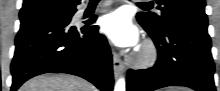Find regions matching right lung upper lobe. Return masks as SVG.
Here are the masks:
<instances>
[{
    "instance_id": "right-lung-upper-lobe-1",
    "label": "right lung upper lobe",
    "mask_w": 220,
    "mask_h": 91,
    "mask_svg": "<svg viewBox=\"0 0 220 91\" xmlns=\"http://www.w3.org/2000/svg\"><path fill=\"white\" fill-rule=\"evenodd\" d=\"M80 3V0H24L20 19L41 14L68 11Z\"/></svg>"
}]
</instances>
